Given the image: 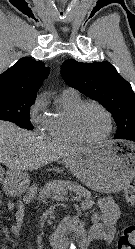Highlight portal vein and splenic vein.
Here are the masks:
<instances>
[{
	"label": "portal vein and splenic vein",
	"mask_w": 135,
	"mask_h": 249,
	"mask_svg": "<svg viewBox=\"0 0 135 249\" xmlns=\"http://www.w3.org/2000/svg\"><path fill=\"white\" fill-rule=\"evenodd\" d=\"M56 200H61V199H65V197H62V196H58L57 198H55ZM71 200L72 201H77V202H79V201H81V197L80 196H73L72 198H71Z\"/></svg>",
	"instance_id": "portal-vein-and-splenic-vein-1"
}]
</instances>
